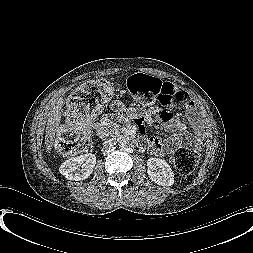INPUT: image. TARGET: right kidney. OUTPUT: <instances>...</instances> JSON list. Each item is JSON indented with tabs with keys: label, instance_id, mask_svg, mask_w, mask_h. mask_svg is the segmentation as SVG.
Instances as JSON below:
<instances>
[{
	"label": "right kidney",
	"instance_id": "ca27d5eb",
	"mask_svg": "<svg viewBox=\"0 0 253 253\" xmlns=\"http://www.w3.org/2000/svg\"><path fill=\"white\" fill-rule=\"evenodd\" d=\"M95 164V154H82L62 163L59 172L69 180L80 181L92 174Z\"/></svg>",
	"mask_w": 253,
	"mask_h": 253
}]
</instances>
